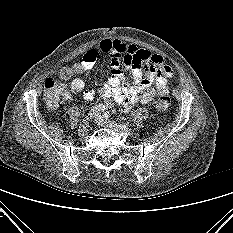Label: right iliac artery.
<instances>
[{
	"label": "right iliac artery",
	"instance_id": "right-iliac-artery-1",
	"mask_svg": "<svg viewBox=\"0 0 233 233\" xmlns=\"http://www.w3.org/2000/svg\"><path fill=\"white\" fill-rule=\"evenodd\" d=\"M105 109L106 106L104 104H98L92 108V111L100 112V111H104Z\"/></svg>",
	"mask_w": 233,
	"mask_h": 233
}]
</instances>
